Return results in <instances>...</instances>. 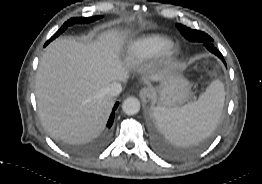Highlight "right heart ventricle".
<instances>
[{
	"mask_svg": "<svg viewBox=\"0 0 262 184\" xmlns=\"http://www.w3.org/2000/svg\"><path fill=\"white\" fill-rule=\"evenodd\" d=\"M170 44V39L166 36L159 34L147 35L138 38L128 46L126 58L133 64L142 63L164 54Z\"/></svg>",
	"mask_w": 262,
	"mask_h": 184,
	"instance_id": "right-heart-ventricle-1",
	"label": "right heart ventricle"
}]
</instances>
